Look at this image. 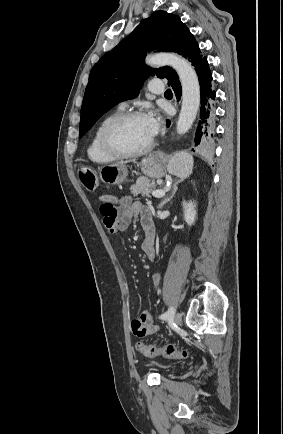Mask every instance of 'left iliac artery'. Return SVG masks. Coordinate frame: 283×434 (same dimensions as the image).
Instances as JSON below:
<instances>
[{
	"label": "left iliac artery",
	"mask_w": 283,
	"mask_h": 434,
	"mask_svg": "<svg viewBox=\"0 0 283 434\" xmlns=\"http://www.w3.org/2000/svg\"><path fill=\"white\" fill-rule=\"evenodd\" d=\"M174 313H175V308L170 307L165 313L161 314L159 318L163 320H168L174 316Z\"/></svg>",
	"instance_id": "obj_1"
}]
</instances>
